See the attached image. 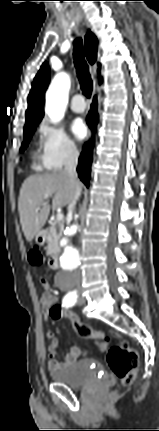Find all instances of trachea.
Listing matches in <instances>:
<instances>
[{"mask_svg":"<svg viewBox=\"0 0 159 431\" xmlns=\"http://www.w3.org/2000/svg\"><path fill=\"white\" fill-rule=\"evenodd\" d=\"M74 64L76 67L77 76L80 82V86L83 94L87 97H91L93 82L89 73V67L84 57L82 39L77 38L74 40Z\"/></svg>","mask_w":159,"mask_h":431,"instance_id":"trachea-1","label":"trachea"}]
</instances>
